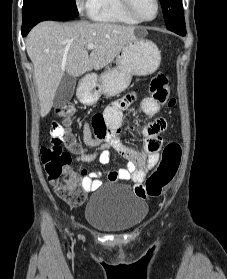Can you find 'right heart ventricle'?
<instances>
[{
    "label": "right heart ventricle",
    "instance_id": "e07e8e85",
    "mask_svg": "<svg viewBox=\"0 0 227 279\" xmlns=\"http://www.w3.org/2000/svg\"><path fill=\"white\" fill-rule=\"evenodd\" d=\"M88 10L92 20L117 24H137L123 5L122 0H92Z\"/></svg>",
    "mask_w": 227,
    "mask_h": 279
}]
</instances>
